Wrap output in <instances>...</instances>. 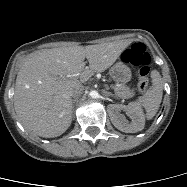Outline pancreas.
I'll list each match as a JSON object with an SVG mask.
<instances>
[{"mask_svg":"<svg viewBox=\"0 0 187 187\" xmlns=\"http://www.w3.org/2000/svg\"><path fill=\"white\" fill-rule=\"evenodd\" d=\"M115 94L121 98H131L135 95V91L125 85H116L114 87Z\"/></svg>","mask_w":187,"mask_h":187,"instance_id":"obj_1","label":"pancreas"}]
</instances>
